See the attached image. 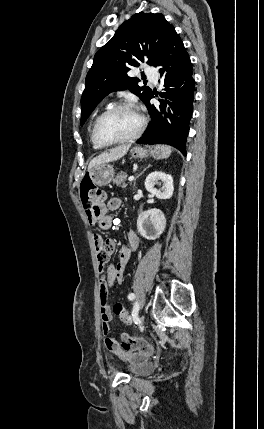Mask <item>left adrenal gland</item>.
Segmentation results:
<instances>
[{"mask_svg":"<svg viewBox=\"0 0 264 429\" xmlns=\"http://www.w3.org/2000/svg\"><path fill=\"white\" fill-rule=\"evenodd\" d=\"M152 165L151 164H149L147 167H145L143 170H142V172H140V174L135 178V180H134V184H133V187H135V184H136V180H137V178H139L144 172H145V170H147V168H149V167H151Z\"/></svg>","mask_w":264,"mask_h":429,"instance_id":"a2214340","label":"left adrenal gland"}]
</instances>
